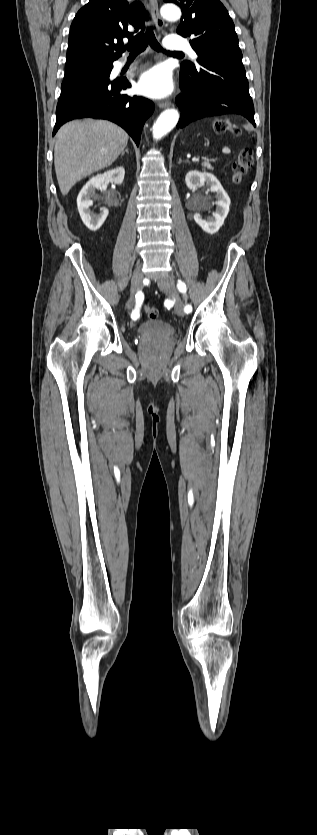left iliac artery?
Returning <instances> with one entry per match:
<instances>
[{
  "label": "left iliac artery",
  "instance_id": "obj_1",
  "mask_svg": "<svg viewBox=\"0 0 317 835\" xmlns=\"http://www.w3.org/2000/svg\"><path fill=\"white\" fill-rule=\"evenodd\" d=\"M177 288H178V290H179L181 293H185V292H186V290H187L185 283H184V282H182V281H178V283H177ZM184 311H185L186 313H190V312L192 311V306H191V305H189V304H187V305L185 306V308H184Z\"/></svg>",
  "mask_w": 317,
  "mask_h": 835
}]
</instances>
